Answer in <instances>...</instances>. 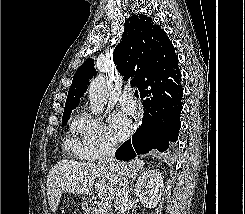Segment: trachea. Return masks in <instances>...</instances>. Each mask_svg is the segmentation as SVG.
<instances>
[{
	"label": "trachea",
	"instance_id": "1",
	"mask_svg": "<svg viewBox=\"0 0 245 214\" xmlns=\"http://www.w3.org/2000/svg\"><path fill=\"white\" fill-rule=\"evenodd\" d=\"M134 95H135V97H139V94H138V91L137 90H135V92H134Z\"/></svg>",
	"mask_w": 245,
	"mask_h": 214
}]
</instances>
